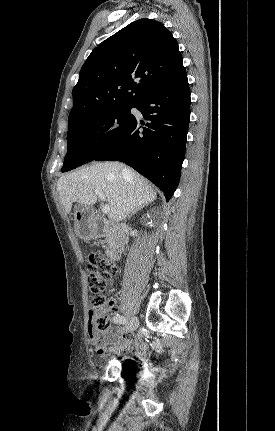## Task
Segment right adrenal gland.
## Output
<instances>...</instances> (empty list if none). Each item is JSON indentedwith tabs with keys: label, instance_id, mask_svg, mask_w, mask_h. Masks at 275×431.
I'll use <instances>...</instances> for the list:
<instances>
[{
	"label": "right adrenal gland",
	"instance_id": "obj_1",
	"mask_svg": "<svg viewBox=\"0 0 275 431\" xmlns=\"http://www.w3.org/2000/svg\"><path fill=\"white\" fill-rule=\"evenodd\" d=\"M139 209V208H138ZM137 210V209H136ZM136 210H133V211H131L128 215H127V217L129 218V217H131L134 213H136Z\"/></svg>",
	"mask_w": 275,
	"mask_h": 431
}]
</instances>
